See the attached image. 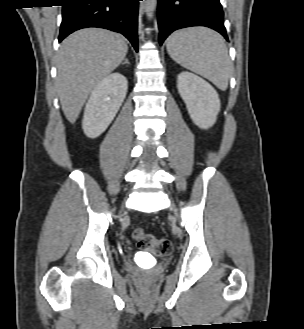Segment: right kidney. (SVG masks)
Instances as JSON below:
<instances>
[{"instance_id":"obj_1","label":"right kidney","mask_w":304,"mask_h":329,"mask_svg":"<svg viewBox=\"0 0 304 329\" xmlns=\"http://www.w3.org/2000/svg\"><path fill=\"white\" fill-rule=\"evenodd\" d=\"M127 89V79L120 73L108 75L94 88L82 121L86 136L96 138L107 129L122 105Z\"/></svg>"}]
</instances>
